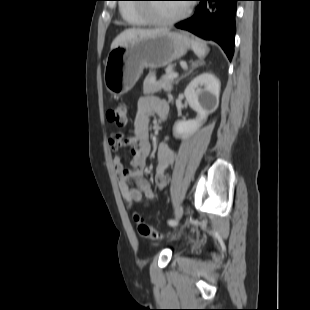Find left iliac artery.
Listing matches in <instances>:
<instances>
[{"label": "left iliac artery", "instance_id": "obj_1", "mask_svg": "<svg viewBox=\"0 0 310 310\" xmlns=\"http://www.w3.org/2000/svg\"><path fill=\"white\" fill-rule=\"evenodd\" d=\"M168 224L171 225V226H174V225H176L177 223L175 222V220L170 219V220H168Z\"/></svg>", "mask_w": 310, "mask_h": 310}]
</instances>
